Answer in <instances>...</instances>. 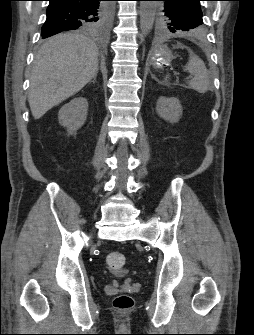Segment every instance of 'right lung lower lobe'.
Masks as SVG:
<instances>
[{
  "label": "right lung lower lobe",
  "mask_w": 254,
  "mask_h": 335,
  "mask_svg": "<svg viewBox=\"0 0 254 335\" xmlns=\"http://www.w3.org/2000/svg\"><path fill=\"white\" fill-rule=\"evenodd\" d=\"M102 0H49L42 38L67 30L91 31L101 14Z\"/></svg>",
  "instance_id": "1"
}]
</instances>
